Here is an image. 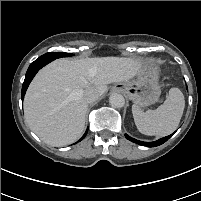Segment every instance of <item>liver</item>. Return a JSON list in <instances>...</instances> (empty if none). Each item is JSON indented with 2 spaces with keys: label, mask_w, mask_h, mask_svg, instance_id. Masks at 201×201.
<instances>
[{
  "label": "liver",
  "mask_w": 201,
  "mask_h": 201,
  "mask_svg": "<svg viewBox=\"0 0 201 201\" xmlns=\"http://www.w3.org/2000/svg\"><path fill=\"white\" fill-rule=\"evenodd\" d=\"M143 65L130 57L57 59L39 71L26 92V122L49 145L71 144L85 128L84 91L92 88L102 96L108 84L130 81Z\"/></svg>",
  "instance_id": "obj_1"
}]
</instances>
